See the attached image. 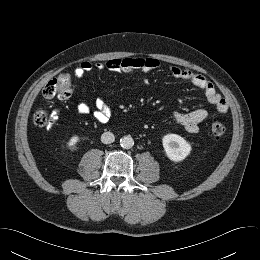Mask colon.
<instances>
[{
    "instance_id": "5ec220e1",
    "label": "colon",
    "mask_w": 260,
    "mask_h": 260,
    "mask_svg": "<svg viewBox=\"0 0 260 260\" xmlns=\"http://www.w3.org/2000/svg\"><path fill=\"white\" fill-rule=\"evenodd\" d=\"M72 94V84L70 76L67 73H61L51 79L43 89V95L46 98H57L60 100L68 99ZM56 114L41 109L34 114V123L39 127H50L55 121ZM211 135L219 139L225 133V126L216 118L210 122Z\"/></svg>"
}]
</instances>
